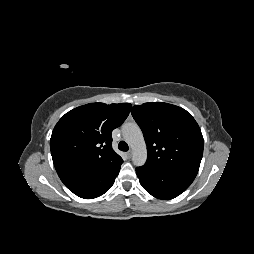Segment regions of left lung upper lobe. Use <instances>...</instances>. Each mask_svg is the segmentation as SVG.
I'll list each match as a JSON object with an SVG mask.
<instances>
[{
  "instance_id": "left-lung-upper-lobe-1",
  "label": "left lung upper lobe",
  "mask_w": 254,
  "mask_h": 254,
  "mask_svg": "<svg viewBox=\"0 0 254 254\" xmlns=\"http://www.w3.org/2000/svg\"><path fill=\"white\" fill-rule=\"evenodd\" d=\"M131 113L147 145L145 165L195 178L203 155L201 130L185 109L163 102L136 105Z\"/></svg>"
}]
</instances>
